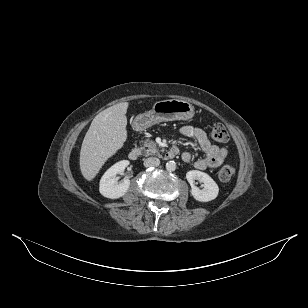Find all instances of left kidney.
<instances>
[{"label": "left kidney", "instance_id": "5707ae66", "mask_svg": "<svg viewBox=\"0 0 308 308\" xmlns=\"http://www.w3.org/2000/svg\"><path fill=\"white\" fill-rule=\"evenodd\" d=\"M186 178L191 185V195L197 201L209 202L218 196L219 187L208 174L198 170H191L187 172ZM195 180L203 183L204 188L202 190L194 185Z\"/></svg>", "mask_w": 308, "mask_h": 308}]
</instances>
